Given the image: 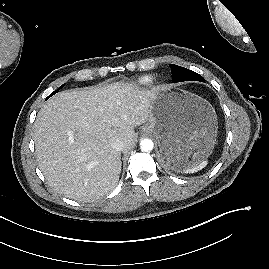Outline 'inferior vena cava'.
I'll return each mask as SVG.
<instances>
[{
	"mask_svg": "<svg viewBox=\"0 0 269 269\" xmlns=\"http://www.w3.org/2000/svg\"><path fill=\"white\" fill-rule=\"evenodd\" d=\"M111 147L116 151H122L124 149V143L121 140H116L111 144Z\"/></svg>",
	"mask_w": 269,
	"mask_h": 269,
	"instance_id": "602c4592",
	"label": "inferior vena cava"
}]
</instances>
